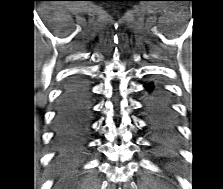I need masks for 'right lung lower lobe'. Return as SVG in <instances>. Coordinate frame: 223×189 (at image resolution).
<instances>
[{
  "mask_svg": "<svg viewBox=\"0 0 223 189\" xmlns=\"http://www.w3.org/2000/svg\"><path fill=\"white\" fill-rule=\"evenodd\" d=\"M92 100L90 83L83 75L72 77L59 98L54 119V143L59 152L81 150L90 131Z\"/></svg>",
  "mask_w": 223,
  "mask_h": 189,
  "instance_id": "1",
  "label": "right lung lower lobe"
}]
</instances>
